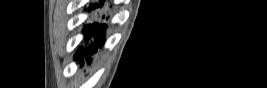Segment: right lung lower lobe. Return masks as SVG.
I'll return each instance as SVG.
<instances>
[{"label":"right lung lower lobe","instance_id":"98d812e1","mask_svg":"<svg viewBox=\"0 0 267 88\" xmlns=\"http://www.w3.org/2000/svg\"><path fill=\"white\" fill-rule=\"evenodd\" d=\"M97 7H98L97 4L93 6V8ZM85 28L88 31L85 37L88 38V36L89 37L93 36V41L88 42V40H86L87 44L84 47L78 48V50L76 51L74 59L79 60L81 65H83V58H85L87 63H90L92 60L91 56L95 52H97L98 49H101L103 47L105 42V31L107 25L105 23L104 24L93 23L92 25L85 26Z\"/></svg>","mask_w":267,"mask_h":88}]
</instances>
